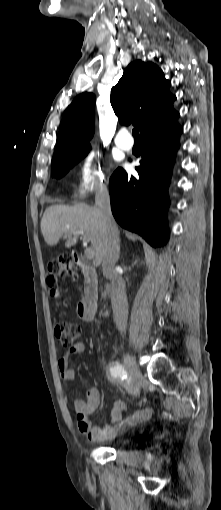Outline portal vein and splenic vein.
Segmentation results:
<instances>
[{"instance_id": "portal-vein-and-splenic-vein-1", "label": "portal vein and splenic vein", "mask_w": 221, "mask_h": 510, "mask_svg": "<svg viewBox=\"0 0 221 510\" xmlns=\"http://www.w3.org/2000/svg\"><path fill=\"white\" fill-rule=\"evenodd\" d=\"M80 234H81V239L83 240V244L87 245L88 241H87L86 236L84 235L83 232ZM84 254H85L86 259H88V260H91L94 257V251L91 248H86Z\"/></svg>"}]
</instances>
